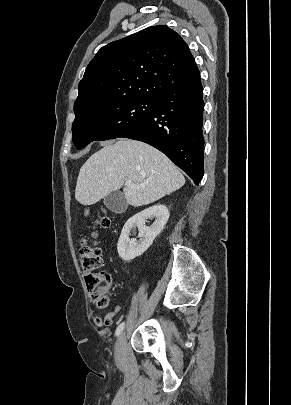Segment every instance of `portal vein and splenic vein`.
<instances>
[{
	"label": "portal vein and splenic vein",
	"mask_w": 291,
	"mask_h": 405,
	"mask_svg": "<svg viewBox=\"0 0 291 405\" xmlns=\"http://www.w3.org/2000/svg\"><path fill=\"white\" fill-rule=\"evenodd\" d=\"M125 184H126V186H128V187H135V186H136L134 183H132L131 180H127Z\"/></svg>",
	"instance_id": "obj_1"
}]
</instances>
